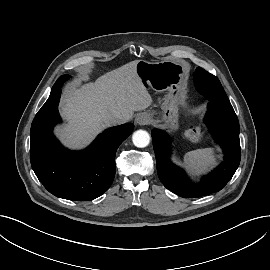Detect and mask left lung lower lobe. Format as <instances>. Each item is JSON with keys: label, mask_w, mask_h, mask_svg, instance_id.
<instances>
[{"label": "left lung lower lobe", "mask_w": 270, "mask_h": 270, "mask_svg": "<svg viewBox=\"0 0 270 270\" xmlns=\"http://www.w3.org/2000/svg\"><path fill=\"white\" fill-rule=\"evenodd\" d=\"M205 122L225 156L224 162L198 184H193L181 168L171 163L168 134L159 129L152 131L158 176L167 189L181 197L196 198L220 191L240 163L239 122L230 102L209 101Z\"/></svg>", "instance_id": "left-lung-lower-lobe-1"}]
</instances>
